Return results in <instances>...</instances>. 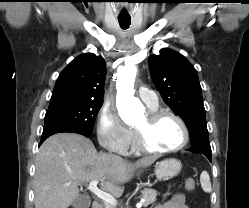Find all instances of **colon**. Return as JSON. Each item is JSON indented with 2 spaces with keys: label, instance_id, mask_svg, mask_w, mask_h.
I'll return each instance as SVG.
<instances>
[{
  "label": "colon",
  "instance_id": "1",
  "mask_svg": "<svg viewBox=\"0 0 249 208\" xmlns=\"http://www.w3.org/2000/svg\"><path fill=\"white\" fill-rule=\"evenodd\" d=\"M196 183L194 179H187L185 182V187L188 191H193L195 189Z\"/></svg>",
  "mask_w": 249,
  "mask_h": 208
}]
</instances>
